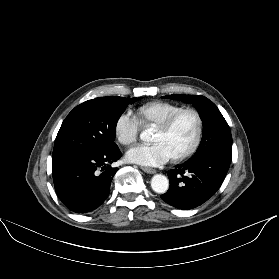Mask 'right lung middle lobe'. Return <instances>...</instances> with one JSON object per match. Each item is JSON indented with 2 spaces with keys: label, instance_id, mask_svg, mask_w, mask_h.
I'll use <instances>...</instances> for the list:
<instances>
[{
  "label": "right lung middle lobe",
  "instance_id": "right-lung-middle-lobe-1",
  "mask_svg": "<svg viewBox=\"0 0 279 279\" xmlns=\"http://www.w3.org/2000/svg\"><path fill=\"white\" fill-rule=\"evenodd\" d=\"M128 102L129 98L109 96L76 106L60 127L53 156L101 154L116 146V125Z\"/></svg>",
  "mask_w": 279,
  "mask_h": 279
}]
</instances>
